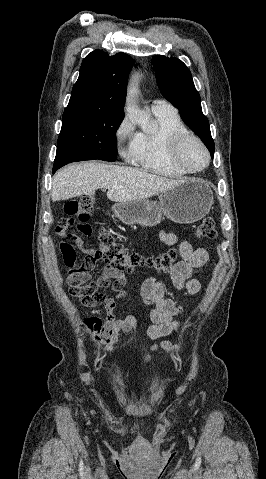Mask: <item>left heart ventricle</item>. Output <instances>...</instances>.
<instances>
[{"mask_svg":"<svg viewBox=\"0 0 266 479\" xmlns=\"http://www.w3.org/2000/svg\"><path fill=\"white\" fill-rule=\"evenodd\" d=\"M181 157L189 168H199L205 164V154L198 144L191 141L182 149Z\"/></svg>","mask_w":266,"mask_h":479,"instance_id":"left-heart-ventricle-1","label":"left heart ventricle"}]
</instances>
